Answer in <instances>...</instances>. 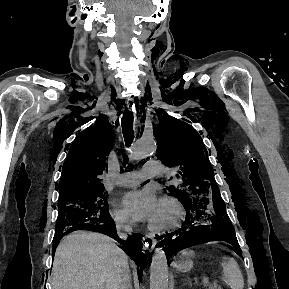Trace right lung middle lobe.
I'll list each match as a JSON object with an SVG mask.
<instances>
[{"label":"right lung middle lobe","instance_id":"dd1d6c3e","mask_svg":"<svg viewBox=\"0 0 289 289\" xmlns=\"http://www.w3.org/2000/svg\"><path fill=\"white\" fill-rule=\"evenodd\" d=\"M108 214L104 188L74 192L59 197L55 237L65 235L81 220L99 218Z\"/></svg>","mask_w":289,"mask_h":289}]
</instances>
